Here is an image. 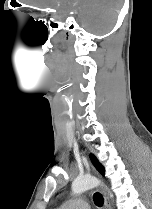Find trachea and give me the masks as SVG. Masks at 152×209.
<instances>
[{
    "mask_svg": "<svg viewBox=\"0 0 152 209\" xmlns=\"http://www.w3.org/2000/svg\"><path fill=\"white\" fill-rule=\"evenodd\" d=\"M93 200H94V203L97 205V206H102L103 205V196L100 194V193H95L93 195Z\"/></svg>",
    "mask_w": 152,
    "mask_h": 209,
    "instance_id": "3493384b",
    "label": "trachea"
}]
</instances>
